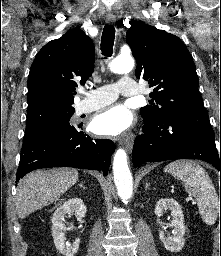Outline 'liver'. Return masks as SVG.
Here are the masks:
<instances>
[{"mask_svg":"<svg viewBox=\"0 0 221 256\" xmlns=\"http://www.w3.org/2000/svg\"><path fill=\"white\" fill-rule=\"evenodd\" d=\"M77 180L78 171L72 168L36 170L27 174L17 186V215L24 219L34 211L53 203Z\"/></svg>","mask_w":221,"mask_h":256,"instance_id":"liver-1","label":"liver"}]
</instances>
